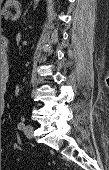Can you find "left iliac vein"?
I'll return each mask as SVG.
<instances>
[{"label": "left iliac vein", "instance_id": "obj_1", "mask_svg": "<svg viewBox=\"0 0 109 170\" xmlns=\"http://www.w3.org/2000/svg\"><path fill=\"white\" fill-rule=\"evenodd\" d=\"M24 134L28 139H31L33 137V127L31 125H26L24 127Z\"/></svg>", "mask_w": 109, "mask_h": 170}]
</instances>
